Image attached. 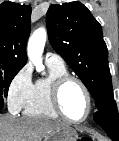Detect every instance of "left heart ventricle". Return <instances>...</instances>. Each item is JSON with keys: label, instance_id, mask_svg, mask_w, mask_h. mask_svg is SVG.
Here are the masks:
<instances>
[{"label": "left heart ventricle", "instance_id": "1", "mask_svg": "<svg viewBox=\"0 0 119 141\" xmlns=\"http://www.w3.org/2000/svg\"><path fill=\"white\" fill-rule=\"evenodd\" d=\"M61 106L71 119H81L87 111V101L81 87L75 82L68 83L61 94Z\"/></svg>", "mask_w": 119, "mask_h": 141}]
</instances>
